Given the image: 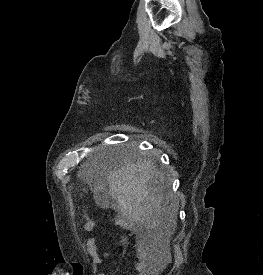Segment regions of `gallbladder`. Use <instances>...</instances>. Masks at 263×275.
<instances>
[{
	"instance_id": "gallbladder-1",
	"label": "gallbladder",
	"mask_w": 263,
	"mask_h": 275,
	"mask_svg": "<svg viewBox=\"0 0 263 275\" xmlns=\"http://www.w3.org/2000/svg\"><path fill=\"white\" fill-rule=\"evenodd\" d=\"M94 200L96 205L102 209H108L113 206V200L106 189L96 192L94 195Z\"/></svg>"
}]
</instances>
